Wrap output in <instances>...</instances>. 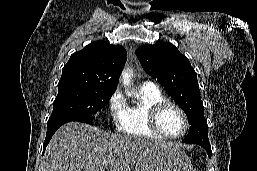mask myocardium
Returning a JSON list of instances; mask_svg holds the SVG:
<instances>
[{"label":"myocardium","mask_w":257,"mask_h":171,"mask_svg":"<svg viewBox=\"0 0 257 171\" xmlns=\"http://www.w3.org/2000/svg\"><path fill=\"white\" fill-rule=\"evenodd\" d=\"M168 107L175 108L181 114V116L183 118L184 129L179 135H176V136L168 135L160 127V124H159L160 115ZM148 124H149L150 129L153 132L160 135L162 138L170 139V140H176V139L182 138L189 129V120H188V116H187L186 112L184 111V109L177 103L169 101V100L161 101V102L153 105L150 108L149 116H148Z\"/></svg>","instance_id":"1"}]
</instances>
